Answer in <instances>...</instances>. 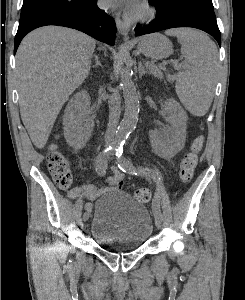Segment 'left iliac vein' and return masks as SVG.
<instances>
[{"label":"left iliac vein","instance_id":"obj_1","mask_svg":"<svg viewBox=\"0 0 245 300\" xmlns=\"http://www.w3.org/2000/svg\"><path fill=\"white\" fill-rule=\"evenodd\" d=\"M155 224H156L157 228L161 229L162 225H163L162 218L155 216Z\"/></svg>","mask_w":245,"mask_h":300}]
</instances>
